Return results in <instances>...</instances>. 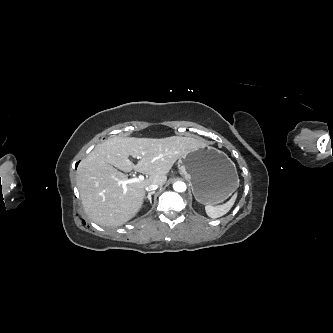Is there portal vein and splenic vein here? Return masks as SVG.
<instances>
[{
    "mask_svg": "<svg viewBox=\"0 0 333 333\" xmlns=\"http://www.w3.org/2000/svg\"><path fill=\"white\" fill-rule=\"evenodd\" d=\"M140 180H144V176L143 175H139L138 178H132V179H127L124 181H121V184L125 187L127 184H131Z\"/></svg>",
    "mask_w": 333,
    "mask_h": 333,
    "instance_id": "18ae733b",
    "label": "portal vein and splenic vein"
}]
</instances>
